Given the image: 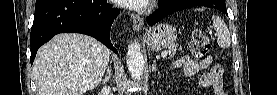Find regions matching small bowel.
Segmentation results:
<instances>
[{
  "label": "small bowel",
  "instance_id": "1",
  "mask_svg": "<svg viewBox=\"0 0 277 95\" xmlns=\"http://www.w3.org/2000/svg\"><path fill=\"white\" fill-rule=\"evenodd\" d=\"M176 66L181 68L186 76L200 74L201 84L208 86L212 85L213 94L225 95L223 84L221 81L220 71L221 66L212 67V58L207 56L202 60H195L189 56H184L175 62Z\"/></svg>",
  "mask_w": 277,
  "mask_h": 95
}]
</instances>
